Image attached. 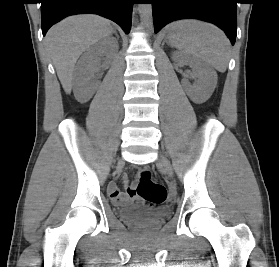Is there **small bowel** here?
Segmentation results:
<instances>
[{"label":"small bowel","mask_w":279,"mask_h":267,"mask_svg":"<svg viewBox=\"0 0 279 267\" xmlns=\"http://www.w3.org/2000/svg\"><path fill=\"white\" fill-rule=\"evenodd\" d=\"M123 182L126 185L128 184L129 179L127 175L123 177ZM108 192L113 202L117 204H126L133 202L138 195L137 192H135V186H128L127 192L123 193L120 191L118 185L114 182L109 185Z\"/></svg>","instance_id":"obj_1"}]
</instances>
